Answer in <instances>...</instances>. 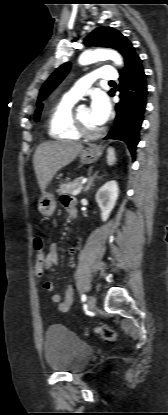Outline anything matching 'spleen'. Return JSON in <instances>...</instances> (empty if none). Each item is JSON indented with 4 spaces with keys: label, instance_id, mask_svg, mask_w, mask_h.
I'll return each instance as SVG.
<instances>
[{
    "label": "spleen",
    "instance_id": "obj_1",
    "mask_svg": "<svg viewBox=\"0 0 168 415\" xmlns=\"http://www.w3.org/2000/svg\"><path fill=\"white\" fill-rule=\"evenodd\" d=\"M107 152H108L107 163H108V165L112 166L116 163L115 150H114V148L109 147Z\"/></svg>",
    "mask_w": 168,
    "mask_h": 415
}]
</instances>
